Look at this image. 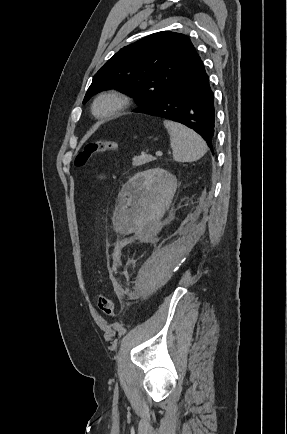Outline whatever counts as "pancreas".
<instances>
[{"label": "pancreas", "mask_w": 287, "mask_h": 434, "mask_svg": "<svg viewBox=\"0 0 287 434\" xmlns=\"http://www.w3.org/2000/svg\"><path fill=\"white\" fill-rule=\"evenodd\" d=\"M154 160H155L154 157H152L150 155L142 154L140 156H135L133 158L132 165H133V167H138V166L144 165V164L149 163V162L154 161Z\"/></svg>", "instance_id": "pancreas-1"}]
</instances>
